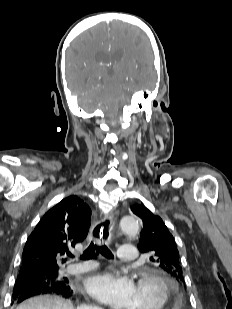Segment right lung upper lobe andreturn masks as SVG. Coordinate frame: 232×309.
<instances>
[{
  "mask_svg": "<svg viewBox=\"0 0 232 309\" xmlns=\"http://www.w3.org/2000/svg\"><path fill=\"white\" fill-rule=\"evenodd\" d=\"M90 216L89 206L79 197L63 199L44 214L28 237L22 266L30 265L35 274L58 270L69 248L86 238Z\"/></svg>",
  "mask_w": 232,
  "mask_h": 309,
  "instance_id": "right-lung-upper-lobe-1",
  "label": "right lung upper lobe"
}]
</instances>
